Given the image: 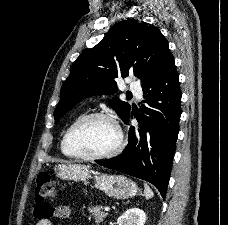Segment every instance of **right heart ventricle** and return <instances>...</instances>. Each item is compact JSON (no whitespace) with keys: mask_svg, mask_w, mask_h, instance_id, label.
<instances>
[{"mask_svg":"<svg viewBox=\"0 0 228 225\" xmlns=\"http://www.w3.org/2000/svg\"><path fill=\"white\" fill-rule=\"evenodd\" d=\"M66 131H67V130H66ZM66 131H65L64 134L62 135L61 143H60L61 151H62L63 154H65V155H67V153H66V151H65V148H64V135H65Z\"/></svg>","mask_w":228,"mask_h":225,"instance_id":"right-heart-ventricle-1","label":"right heart ventricle"}]
</instances>
